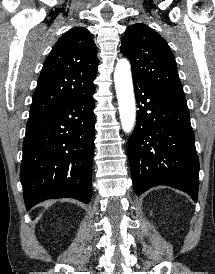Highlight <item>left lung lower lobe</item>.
<instances>
[{
  "instance_id": "1",
  "label": "left lung lower lobe",
  "mask_w": 215,
  "mask_h": 274,
  "mask_svg": "<svg viewBox=\"0 0 215 274\" xmlns=\"http://www.w3.org/2000/svg\"><path fill=\"white\" fill-rule=\"evenodd\" d=\"M133 82L139 110L128 155L135 193L167 185L196 202L199 160L186 101Z\"/></svg>"
}]
</instances>
